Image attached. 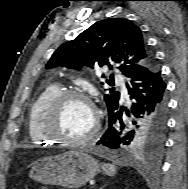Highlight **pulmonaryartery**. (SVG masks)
Returning <instances> with one entry per match:
<instances>
[{"mask_svg":"<svg viewBox=\"0 0 188 189\" xmlns=\"http://www.w3.org/2000/svg\"><path fill=\"white\" fill-rule=\"evenodd\" d=\"M115 78H116V80L119 82V84L122 87V94H123L124 98H128L127 89H126L124 83L122 82V77L120 75L116 74Z\"/></svg>","mask_w":188,"mask_h":189,"instance_id":"1","label":"pulmonary artery"}]
</instances>
